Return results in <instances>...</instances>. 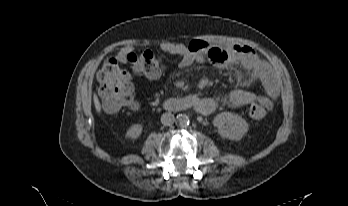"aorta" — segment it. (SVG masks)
Masks as SVG:
<instances>
[{
    "label": "aorta",
    "mask_w": 348,
    "mask_h": 206,
    "mask_svg": "<svg viewBox=\"0 0 348 206\" xmlns=\"http://www.w3.org/2000/svg\"><path fill=\"white\" fill-rule=\"evenodd\" d=\"M177 122L181 126H186L189 124V117L186 114H179L177 116Z\"/></svg>",
    "instance_id": "762f6f07"
}]
</instances>
